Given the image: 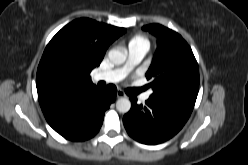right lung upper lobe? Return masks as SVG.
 Returning a JSON list of instances; mask_svg holds the SVG:
<instances>
[{"label":"right lung upper lobe","mask_w":248,"mask_h":165,"mask_svg":"<svg viewBox=\"0 0 248 165\" xmlns=\"http://www.w3.org/2000/svg\"><path fill=\"white\" fill-rule=\"evenodd\" d=\"M125 32V28L88 18L63 27L48 43L37 70L43 113L72 104L97 89L90 72L100 65L108 46Z\"/></svg>","instance_id":"right-lung-upper-lobe-1"}]
</instances>
